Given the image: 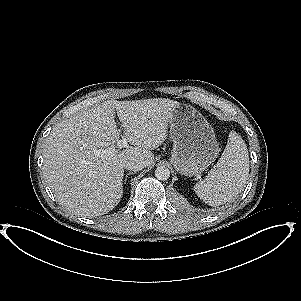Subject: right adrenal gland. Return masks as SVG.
<instances>
[{
  "instance_id": "1",
  "label": "right adrenal gland",
  "mask_w": 301,
  "mask_h": 301,
  "mask_svg": "<svg viewBox=\"0 0 301 301\" xmlns=\"http://www.w3.org/2000/svg\"><path fill=\"white\" fill-rule=\"evenodd\" d=\"M132 174H133V172H129V173L126 174L125 180H124V184L127 183L128 176H129V175H132Z\"/></svg>"
}]
</instances>
